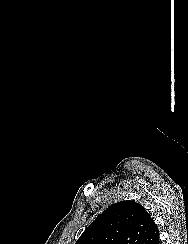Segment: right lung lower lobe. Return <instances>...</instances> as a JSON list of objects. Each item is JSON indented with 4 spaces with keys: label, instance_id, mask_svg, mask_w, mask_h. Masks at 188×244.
Wrapping results in <instances>:
<instances>
[{
    "label": "right lung lower lobe",
    "instance_id": "98d812e1",
    "mask_svg": "<svg viewBox=\"0 0 188 244\" xmlns=\"http://www.w3.org/2000/svg\"><path fill=\"white\" fill-rule=\"evenodd\" d=\"M149 244H160L159 234L156 235V236L149 242Z\"/></svg>",
    "mask_w": 188,
    "mask_h": 244
}]
</instances>
